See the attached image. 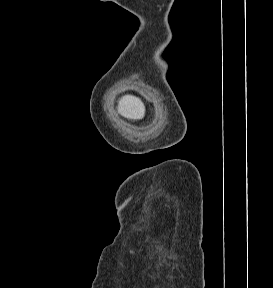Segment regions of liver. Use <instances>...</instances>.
I'll use <instances>...</instances> for the list:
<instances>
[{
    "mask_svg": "<svg viewBox=\"0 0 273 288\" xmlns=\"http://www.w3.org/2000/svg\"><path fill=\"white\" fill-rule=\"evenodd\" d=\"M117 111L127 119L140 120L145 115V106L138 97L125 95L118 101Z\"/></svg>",
    "mask_w": 273,
    "mask_h": 288,
    "instance_id": "obj_1",
    "label": "liver"
}]
</instances>
